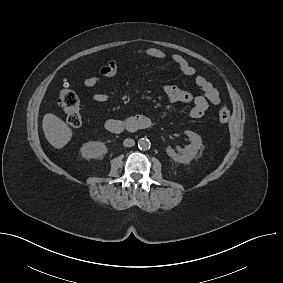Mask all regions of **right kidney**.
Here are the masks:
<instances>
[{"label":"right kidney","mask_w":283,"mask_h":283,"mask_svg":"<svg viewBox=\"0 0 283 283\" xmlns=\"http://www.w3.org/2000/svg\"><path fill=\"white\" fill-rule=\"evenodd\" d=\"M107 153V147L104 143L99 141H90L83 144L81 147V154L86 159H98Z\"/></svg>","instance_id":"obj_1"}]
</instances>
